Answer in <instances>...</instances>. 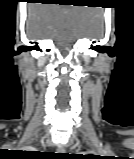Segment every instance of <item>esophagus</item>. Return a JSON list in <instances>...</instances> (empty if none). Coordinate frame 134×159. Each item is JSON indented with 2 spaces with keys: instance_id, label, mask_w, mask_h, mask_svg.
Wrapping results in <instances>:
<instances>
[{
  "instance_id": "obj_1",
  "label": "esophagus",
  "mask_w": 134,
  "mask_h": 159,
  "mask_svg": "<svg viewBox=\"0 0 134 159\" xmlns=\"http://www.w3.org/2000/svg\"><path fill=\"white\" fill-rule=\"evenodd\" d=\"M58 152L60 153H64L65 152V148L64 147H58Z\"/></svg>"
}]
</instances>
